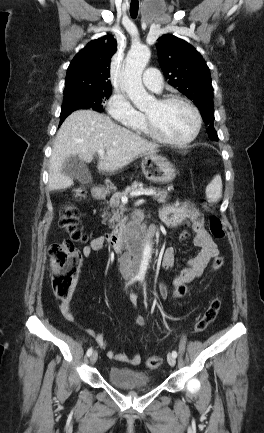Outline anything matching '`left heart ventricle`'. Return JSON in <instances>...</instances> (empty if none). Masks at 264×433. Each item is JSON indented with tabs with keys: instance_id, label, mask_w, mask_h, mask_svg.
I'll return each mask as SVG.
<instances>
[{
	"instance_id": "left-heart-ventricle-1",
	"label": "left heart ventricle",
	"mask_w": 264,
	"mask_h": 433,
	"mask_svg": "<svg viewBox=\"0 0 264 433\" xmlns=\"http://www.w3.org/2000/svg\"><path fill=\"white\" fill-rule=\"evenodd\" d=\"M144 112L167 137L174 140H184L195 127L192 111L180 103L161 106L156 101Z\"/></svg>"
}]
</instances>
